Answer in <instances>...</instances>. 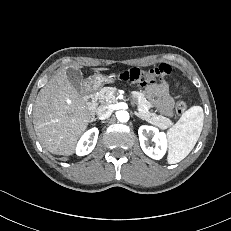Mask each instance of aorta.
Listing matches in <instances>:
<instances>
[{
  "instance_id": "obj_1",
  "label": "aorta",
  "mask_w": 231,
  "mask_h": 231,
  "mask_svg": "<svg viewBox=\"0 0 231 231\" xmlns=\"http://www.w3.org/2000/svg\"><path fill=\"white\" fill-rule=\"evenodd\" d=\"M117 119L122 123L127 122L129 120V113L127 111H119Z\"/></svg>"
}]
</instances>
